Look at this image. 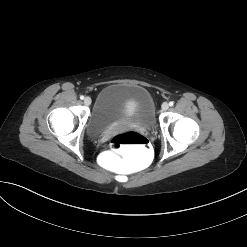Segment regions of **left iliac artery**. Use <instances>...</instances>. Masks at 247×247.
<instances>
[{
  "instance_id": "left-iliac-artery-1",
  "label": "left iliac artery",
  "mask_w": 247,
  "mask_h": 247,
  "mask_svg": "<svg viewBox=\"0 0 247 247\" xmlns=\"http://www.w3.org/2000/svg\"><path fill=\"white\" fill-rule=\"evenodd\" d=\"M173 105H174L173 101L169 102V106H173Z\"/></svg>"
}]
</instances>
